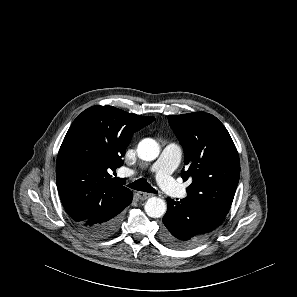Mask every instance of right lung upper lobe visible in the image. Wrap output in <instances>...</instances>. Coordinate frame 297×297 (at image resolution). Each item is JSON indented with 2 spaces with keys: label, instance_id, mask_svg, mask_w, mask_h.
I'll list each match as a JSON object with an SVG mask.
<instances>
[{
  "label": "right lung upper lobe",
  "instance_id": "cb5924a9",
  "mask_svg": "<svg viewBox=\"0 0 297 297\" xmlns=\"http://www.w3.org/2000/svg\"><path fill=\"white\" fill-rule=\"evenodd\" d=\"M154 119L97 105L74 120L56 163L60 198L74 221H83L99 209L119 207L132 195L109 172L123 164L133 133Z\"/></svg>",
  "mask_w": 297,
  "mask_h": 297
}]
</instances>
